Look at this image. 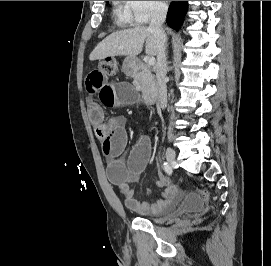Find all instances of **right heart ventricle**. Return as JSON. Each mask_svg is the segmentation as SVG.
Here are the masks:
<instances>
[{
  "instance_id": "1",
  "label": "right heart ventricle",
  "mask_w": 271,
  "mask_h": 266,
  "mask_svg": "<svg viewBox=\"0 0 271 266\" xmlns=\"http://www.w3.org/2000/svg\"><path fill=\"white\" fill-rule=\"evenodd\" d=\"M114 13L122 23H128L130 16L125 7V1H114Z\"/></svg>"
}]
</instances>
